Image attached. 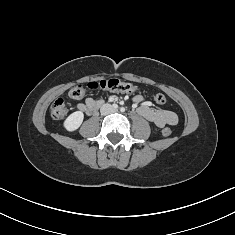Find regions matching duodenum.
<instances>
[{
    "label": "duodenum",
    "mask_w": 235,
    "mask_h": 235,
    "mask_svg": "<svg viewBox=\"0 0 235 235\" xmlns=\"http://www.w3.org/2000/svg\"><path fill=\"white\" fill-rule=\"evenodd\" d=\"M101 103L100 104H97V105H93L92 107H90L86 112L87 114L91 115L93 114L99 107H100Z\"/></svg>",
    "instance_id": "410a0bca"
}]
</instances>
